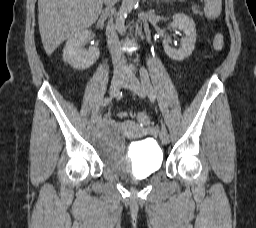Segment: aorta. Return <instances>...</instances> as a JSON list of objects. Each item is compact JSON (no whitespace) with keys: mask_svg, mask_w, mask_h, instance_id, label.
I'll use <instances>...</instances> for the list:
<instances>
[{"mask_svg":"<svg viewBox=\"0 0 256 228\" xmlns=\"http://www.w3.org/2000/svg\"><path fill=\"white\" fill-rule=\"evenodd\" d=\"M138 2L139 0H122L121 7L116 18L117 29L122 35L126 31L125 18L138 5Z\"/></svg>","mask_w":256,"mask_h":228,"instance_id":"aorta-1","label":"aorta"}]
</instances>
